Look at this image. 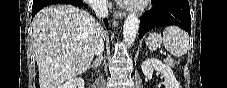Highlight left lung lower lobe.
Wrapping results in <instances>:
<instances>
[{
    "label": "left lung lower lobe",
    "mask_w": 227,
    "mask_h": 88,
    "mask_svg": "<svg viewBox=\"0 0 227 88\" xmlns=\"http://www.w3.org/2000/svg\"><path fill=\"white\" fill-rule=\"evenodd\" d=\"M152 8L140 18L139 38L149 30L176 25L191 34V16L188 0H152Z\"/></svg>",
    "instance_id": "left-lung-lower-lobe-1"
}]
</instances>
